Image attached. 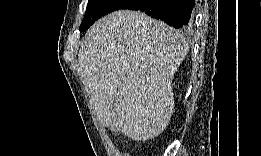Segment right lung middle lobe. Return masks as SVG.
I'll use <instances>...</instances> for the list:
<instances>
[{"label": "right lung middle lobe", "mask_w": 261, "mask_h": 156, "mask_svg": "<svg viewBox=\"0 0 261 156\" xmlns=\"http://www.w3.org/2000/svg\"><path fill=\"white\" fill-rule=\"evenodd\" d=\"M129 1L130 0H90L79 30H87L100 17L109 12L120 9Z\"/></svg>", "instance_id": "1"}]
</instances>
